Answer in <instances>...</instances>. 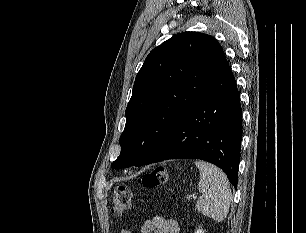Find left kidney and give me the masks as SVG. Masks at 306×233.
<instances>
[{
    "label": "left kidney",
    "instance_id": "left-kidney-1",
    "mask_svg": "<svg viewBox=\"0 0 306 233\" xmlns=\"http://www.w3.org/2000/svg\"><path fill=\"white\" fill-rule=\"evenodd\" d=\"M195 233H205V232L203 231L202 228L199 227V228L195 231Z\"/></svg>",
    "mask_w": 306,
    "mask_h": 233
}]
</instances>
